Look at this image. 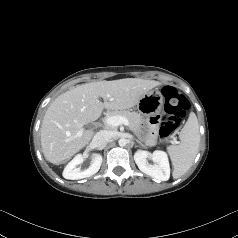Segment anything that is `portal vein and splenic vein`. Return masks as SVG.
I'll list each match as a JSON object with an SVG mask.
<instances>
[{
    "mask_svg": "<svg viewBox=\"0 0 238 238\" xmlns=\"http://www.w3.org/2000/svg\"><path fill=\"white\" fill-rule=\"evenodd\" d=\"M105 123L109 126L116 127L119 125L129 126V121L122 116H110L105 119ZM81 134V132L79 133ZM176 143V140L173 141Z\"/></svg>",
    "mask_w": 238,
    "mask_h": 238,
    "instance_id": "portal-vein-and-splenic-vein-1",
    "label": "portal vein and splenic vein"
}]
</instances>
